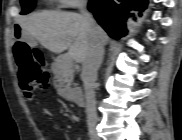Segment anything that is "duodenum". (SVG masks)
<instances>
[{"mask_svg": "<svg viewBox=\"0 0 182 140\" xmlns=\"http://www.w3.org/2000/svg\"><path fill=\"white\" fill-rule=\"evenodd\" d=\"M70 99L77 106H83L84 104L83 95L79 90L76 89L72 90Z\"/></svg>", "mask_w": 182, "mask_h": 140, "instance_id": "410a0bca", "label": "duodenum"}]
</instances>
